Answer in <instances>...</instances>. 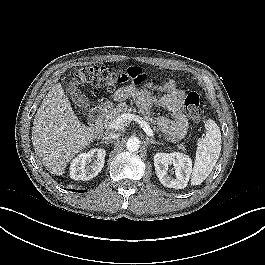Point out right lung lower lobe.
Segmentation results:
<instances>
[{
    "label": "right lung lower lobe",
    "mask_w": 265,
    "mask_h": 265,
    "mask_svg": "<svg viewBox=\"0 0 265 265\" xmlns=\"http://www.w3.org/2000/svg\"><path fill=\"white\" fill-rule=\"evenodd\" d=\"M73 191H74V192H84V190H79V191H78V190H77V191L73 190Z\"/></svg>",
    "instance_id": "right-lung-lower-lobe-1"
}]
</instances>
